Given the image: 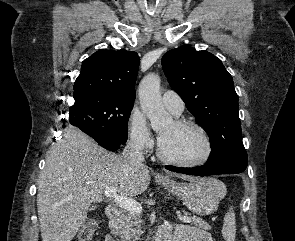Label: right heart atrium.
Wrapping results in <instances>:
<instances>
[{
  "instance_id": "right-heart-atrium-1",
  "label": "right heart atrium",
  "mask_w": 295,
  "mask_h": 241,
  "mask_svg": "<svg viewBox=\"0 0 295 241\" xmlns=\"http://www.w3.org/2000/svg\"><path fill=\"white\" fill-rule=\"evenodd\" d=\"M128 141L133 148L141 152L149 151L154 144L144 116L137 111H133L129 117Z\"/></svg>"
}]
</instances>
